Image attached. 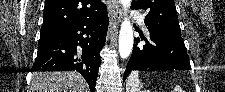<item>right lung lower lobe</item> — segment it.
<instances>
[{"label":"right lung lower lobe","mask_w":225,"mask_h":92,"mask_svg":"<svg viewBox=\"0 0 225 92\" xmlns=\"http://www.w3.org/2000/svg\"><path fill=\"white\" fill-rule=\"evenodd\" d=\"M109 19L107 7L96 17L79 21L61 34L42 38L32 71H78L91 92L100 66V51L105 44Z\"/></svg>","instance_id":"right-lung-lower-lobe-1"}]
</instances>
